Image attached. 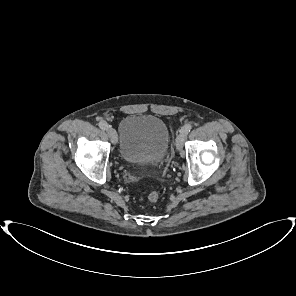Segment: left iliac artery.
Wrapping results in <instances>:
<instances>
[{
    "label": "left iliac artery",
    "mask_w": 296,
    "mask_h": 296,
    "mask_svg": "<svg viewBox=\"0 0 296 296\" xmlns=\"http://www.w3.org/2000/svg\"><path fill=\"white\" fill-rule=\"evenodd\" d=\"M191 129H192V125L191 124H186L185 126L182 127L181 131L188 134Z\"/></svg>",
    "instance_id": "left-iliac-artery-1"
}]
</instances>
